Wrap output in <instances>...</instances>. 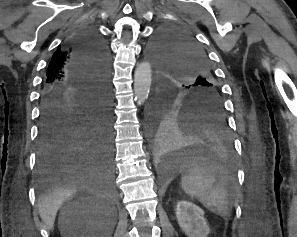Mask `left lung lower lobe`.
<instances>
[{
    "label": "left lung lower lobe",
    "mask_w": 297,
    "mask_h": 237,
    "mask_svg": "<svg viewBox=\"0 0 297 237\" xmlns=\"http://www.w3.org/2000/svg\"><path fill=\"white\" fill-rule=\"evenodd\" d=\"M154 114L171 113L175 128L154 135L157 160L169 169L192 164H214L233 153L231 133L223 107L212 101L176 104L164 92L153 102Z\"/></svg>",
    "instance_id": "1"
}]
</instances>
